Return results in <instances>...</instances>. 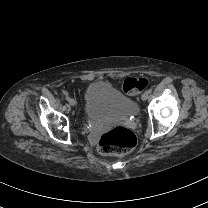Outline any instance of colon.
<instances>
[{
	"mask_svg": "<svg viewBox=\"0 0 208 208\" xmlns=\"http://www.w3.org/2000/svg\"><path fill=\"white\" fill-rule=\"evenodd\" d=\"M148 83L146 78H126L121 85V90L125 94H134L146 89ZM139 141V135L135 131L125 127H113L101 136L98 148L104 156L126 154L135 148Z\"/></svg>",
	"mask_w": 208,
	"mask_h": 208,
	"instance_id": "colon-1",
	"label": "colon"
}]
</instances>
